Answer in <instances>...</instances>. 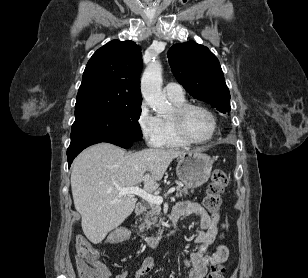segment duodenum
Instances as JSON below:
<instances>
[{
  "label": "duodenum",
  "instance_id": "duodenum-1",
  "mask_svg": "<svg viewBox=\"0 0 308 278\" xmlns=\"http://www.w3.org/2000/svg\"><path fill=\"white\" fill-rule=\"evenodd\" d=\"M144 210V206L142 204H138L136 206V209H135V214L136 215H139L143 212ZM171 219L173 222H176L178 217L177 215L172 211V214H171ZM143 239L150 245V246H156L161 237L160 236H147V237H143Z\"/></svg>",
  "mask_w": 308,
  "mask_h": 278
}]
</instances>
